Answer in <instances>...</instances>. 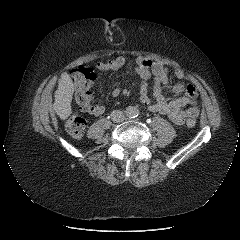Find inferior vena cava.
Wrapping results in <instances>:
<instances>
[{"label": "inferior vena cava", "mask_w": 240, "mask_h": 240, "mask_svg": "<svg viewBox=\"0 0 240 240\" xmlns=\"http://www.w3.org/2000/svg\"><path fill=\"white\" fill-rule=\"evenodd\" d=\"M111 119L113 122L115 123H119V122H122L124 121L125 119V115L122 111L120 110H114L112 113H111Z\"/></svg>", "instance_id": "602c4592"}]
</instances>
